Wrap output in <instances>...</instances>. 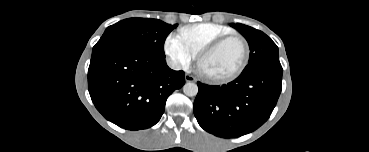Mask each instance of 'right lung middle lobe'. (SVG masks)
I'll list each match as a JSON object with an SVG mask.
<instances>
[{"label": "right lung middle lobe", "instance_id": "1", "mask_svg": "<svg viewBox=\"0 0 369 152\" xmlns=\"http://www.w3.org/2000/svg\"><path fill=\"white\" fill-rule=\"evenodd\" d=\"M178 26L161 20L148 18H129L108 27L92 55L115 47H131L165 59L164 42L168 34Z\"/></svg>", "mask_w": 369, "mask_h": 152}]
</instances>
